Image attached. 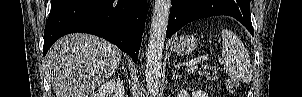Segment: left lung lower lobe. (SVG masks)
Returning a JSON list of instances; mask_svg holds the SVG:
<instances>
[{
    "instance_id": "left-lung-lower-lobe-1",
    "label": "left lung lower lobe",
    "mask_w": 302,
    "mask_h": 97,
    "mask_svg": "<svg viewBox=\"0 0 302 97\" xmlns=\"http://www.w3.org/2000/svg\"><path fill=\"white\" fill-rule=\"evenodd\" d=\"M166 37L187 23L216 15L232 16L254 35L249 0H172Z\"/></svg>"
}]
</instances>
